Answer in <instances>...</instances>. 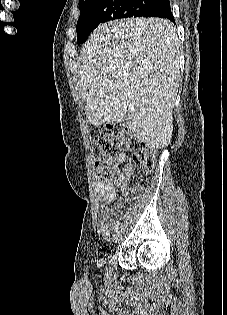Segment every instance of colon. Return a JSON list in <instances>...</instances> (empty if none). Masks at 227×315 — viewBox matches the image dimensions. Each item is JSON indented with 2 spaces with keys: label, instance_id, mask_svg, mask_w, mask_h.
Masks as SVG:
<instances>
[{
  "label": "colon",
  "instance_id": "1",
  "mask_svg": "<svg viewBox=\"0 0 227 315\" xmlns=\"http://www.w3.org/2000/svg\"><path fill=\"white\" fill-rule=\"evenodd\" d=\"M100 156L95 158L94 166L99 180H112V163L120 150L131 152V166L144 173L154 169L157 150L140 141L128 128L119 123L104 126L96 138Z\"/></svg>",
  "mask_w": 227,
  "mask_h": 315
}]
</instances>
